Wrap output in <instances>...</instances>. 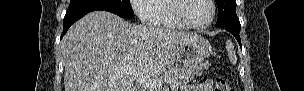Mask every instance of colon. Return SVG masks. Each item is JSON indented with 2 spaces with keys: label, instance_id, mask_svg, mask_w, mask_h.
I'll use <instances>...</instances> for the list:
<instances>
[{
  "label": "colon",
  "instance_id": "obj_1",
  "mask_svg": "<svg viewBox=\"0 0 304 91\" xmlns=\"http://www.w3.org/2000/svg\"><path fill=\"white\" fill-rule=\"evenodd\" d=\"M215 91H234V88L226 80L217 78L215 81Z\"/></svg>",
  "mask_w": 304,
  "mask_h": 91
}]
</instances>
